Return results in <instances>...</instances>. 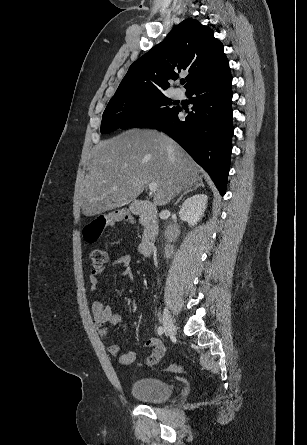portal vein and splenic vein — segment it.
<instances>
[{"label":"portal vein and splenic vein","instance_id":"portal-vein-and-splenic-vein-1","mask_svg":"<svg viewBox=\"0 0 307 445\" xmlns=\"http://www.w3.org/2000/svg\"><path fill=\"white\" fill-rule=\"evenodd\" d=\"M148 186L151 192H155V190H157V182H149Z\"/></svg>","mask_w":307,"mask_h":445}]
</instances>
